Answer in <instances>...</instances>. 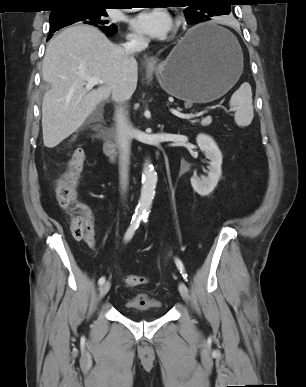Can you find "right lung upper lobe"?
<instances>
[{"label":"right lung upper lobe","instance_id":"cb5924a9","mask_svg":"<svg viewBox=\"0 0 306 387\" xmlns=\"http://www.w3.org/2000/svg\"><path fill=\"white\" fill-rule=\"evenodd\" d=\"M57 9L51 13L60 11L59 9L72 6H99L104 7L110 4V0H55Z\"/></svg>","mask_w":306,"mask_h":387}]
</instances>
